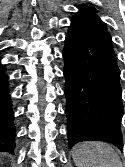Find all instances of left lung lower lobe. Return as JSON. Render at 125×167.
I'll list each match as a JSON object with an SVG mask.
<instances>
[{
  "instance_id": "1",
  "label": "left lung lower lobe",
  "mask_w": 125,
  "mask_h": 167,
  "mask_svg": "<svg viewBox=\"0 0 125 167\" xmlns=\"http://www.w3.org/2000/svg\"><path fill=\"white\" fill-rule=\"evenodd\" d=\"M68 142L123 147L120 69L111 36L97 15L73 17L63 50Z\"/></svg>"
}]
</instances>
